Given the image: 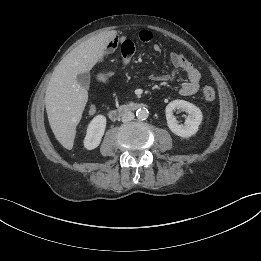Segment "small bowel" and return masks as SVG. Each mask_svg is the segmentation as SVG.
Wrapping results in <instances>:
<instances>
[{"label":"small bowel","mask_w":261,"mask_h":261,"mask_svg":"<svg viewBox=\"0 0 261 261\" xmlns=\"http://www.w3.org/2000/svg\"><path fill=\"white\" fill-rule=\"evenodd\" d=\"M138 39L142 44H150L153 40V34L149 30H141L138 33ZM119 48L122 56V67L125 68L131 62V59L135 52V43L124 37H114L105 49V55L111 54L115 49ZM152 49L160 53L162 47L158 44H154ZM172 70L170 73L152 75V79L155 81H171L174 80L177 74L181 71L186 75V81L181 84L180 94L183 96H191L198 92L200 87V72L198 69L182 54L177 51H173L170 56ZM90 114L96 112V107L91 106L89 110Z\"/></svg>","instance_id":"c3829d8e"}]
</instances>
